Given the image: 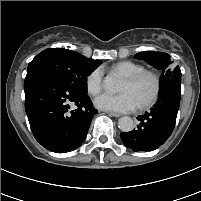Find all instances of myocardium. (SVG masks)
Masks as SVG:
<instances>
[{
	"label": "myocardium",
	"mask_w": 201,
	"mask_h": 201,
	"mask_svg": "<svg viewBox=\"0 0 201 201\" xmlns=\"http://www.w3.org/2000/svg\"><path fill=\"white\" fill-rule=\"evenodd\" d=\"M147 77L153 81V85H154L153 91H152V94L150 95V97L146 101L138 104V107L140 109L149 108L152 105H154L156 103V101L158 100L160 92H161L160 76L154 71L143 70L141 72H138L136 74H133V75H130V76H127L124 78V80H126L128 83L135 84V83L139 82L140 80H142L143 78H147Z\"/></svg>",
	"instance_id": "1"
}]
</instances>
